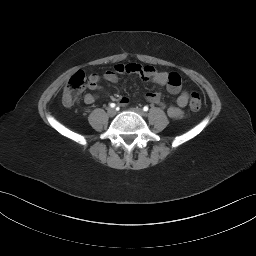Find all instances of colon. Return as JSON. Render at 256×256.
<instances>
[{
	"label": "colon",
	"mask_w": 256,
	"mask_h": 256,
	"mask_svg": "<svg viewBox=\"0 0 256 256\" xmlns=\"http://www.w3.org/2000/svg\"><path fill=\"white\" fill-rule=\"evenodd\" d=\"M91 75L84 72H77L69 79L63 94L62 102L66 106L73 105L81 92L90 84ZM189 106L192 110L198 111L202 107V96L198 92H192L189 97Z\"/></svg>",
	"instance_id": "colon-1"
}]
</instances>
